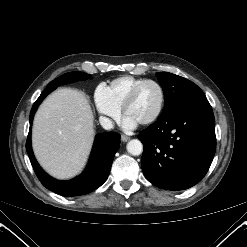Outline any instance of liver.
<instances>
[{
    "mask_svg": "<svg viewBox=\"0 0 247 247\" xmlns=\"http://www.w3.org/2000/svg\"><path fill=\"white\" fill-rule=\"evenodd\" d=\"M93 112L87 96L62 88L39 107L33 123V150L52 176L68 179L84 167L91 149Z\"/></svg>",
    "mask_w": 247,
    "mask_h": 247,
    "instance_id": "1",
    "label": "liver"
}]
</instances>
